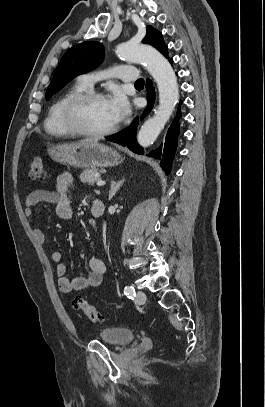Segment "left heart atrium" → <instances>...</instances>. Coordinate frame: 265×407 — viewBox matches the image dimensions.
Listing matches in <instances>:
<instances>
[{"mask_svg": "<svg viewBox=\"0 0 265 407\" xmlns=\"http://www.w3.org/2000/svg\"><path fill=\"white\" fill-rule=\"evenodd\" d=\"M106 101L115 123L121 122L129 115L130 104L123 94L116 92Z\"/></svg>", "mask_w": 265, "mask_h": 407, "instance_id": "39dd6f15", "label": "left heart atrium"}]
</instances>
